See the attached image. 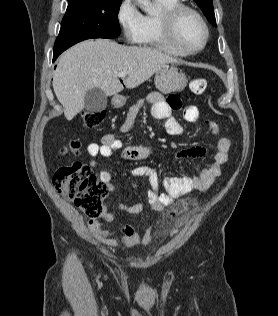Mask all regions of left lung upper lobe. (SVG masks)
Listing matches in <instances>:
<instances>
[{
    "label": "left lung upper lobe",
    "instance_id": "obj_1",
    "mask_svg": "<svg viewBox=\"0 0 278 316\" xmlns=\"http://www.w3.org/2000/svg\"><path fill=\"white\" fill-rule=\"evenodd\" d=\"M194 1L201 8V10L203 11L204 15L209 20V22L212 23L213 26L216 27L217 25H216L212 0H194Z\"/></svg>",
    "mask_w": 278,
    "mask_h": 316
}]
</instances>
